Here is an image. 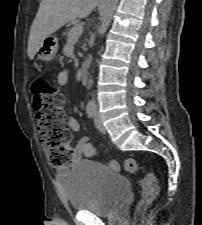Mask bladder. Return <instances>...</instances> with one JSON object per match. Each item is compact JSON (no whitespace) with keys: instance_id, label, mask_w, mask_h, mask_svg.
Here are the masks:
<instances>
[{"instance_id":"obj_1","label":"bladder","mask_w":202,"mask_h":225,"mask_svg":"<svg viewBox=\"0 0 202 225\" xmlns=\"http://www.w3.org/2000/svg\"><path fill=\"white\" fill-rule=\"evenodd\" d=\"M62 187L69 208L102 217L119 211L132 184L106 165L81 159L63 176Z\"/></svg>"}]
</instances>
